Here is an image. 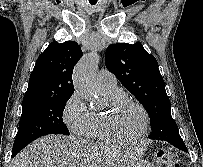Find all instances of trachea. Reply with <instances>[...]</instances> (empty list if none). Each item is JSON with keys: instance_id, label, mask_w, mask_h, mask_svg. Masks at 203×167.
Returning <instances> with one entry per match:
<instances>
[{"instance_id": "1", "label": "trachea", "mask_w": 203, "mask_h": 167, "mask_svg": "<svg viewBox=\"0 0 203 167\" xmlns=\"http://www.w3.org/2000/svg\"><path fill=\"white\" fill-rule=\"evenodd\" d=\"M91 4H92V5H94V4H95V2H91Z\"/></svg>"}]
</instances>
